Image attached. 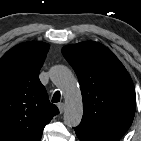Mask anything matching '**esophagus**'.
<instances>
[{
    "label": "esophagus",
    "instance_id": "1",
    "mask_svg": "<svg viewBox=\"0 0 141 141\" xmlns=\"http://www.w3.org/2000/svg\"><path fill=\"white\" fill-rule=\"evenodd\" d=\"M58 109L60 113H63L65 110V104L64 103H58Z\"/></svg>",
    "mask_w": 141,
    "mask_h": 141
}]
</instances>
